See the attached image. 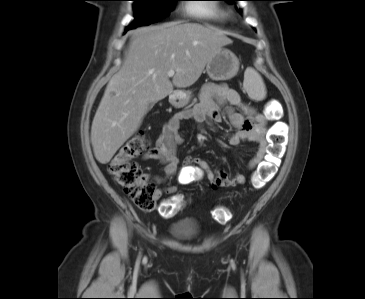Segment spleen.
<instances>
[{"label":"spleen","instance_id":"3e777b00","mask_svg":"<svg viewBox=\"0 0 365 299\" xmlns=\"http://www.w3.org/2000/svg\"><path fill=\"white\" fill-rule=\"evenodd\" d=\"M243 86L252 100L261 101L266 96L263 79L254 68L248 67L245 70Z\"/></svg>","mask_w":365,"mask_h":299}]
</instances>
